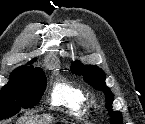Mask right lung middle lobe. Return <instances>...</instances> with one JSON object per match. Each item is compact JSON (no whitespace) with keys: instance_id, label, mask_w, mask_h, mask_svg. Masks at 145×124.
<instances>
[{"instance_id":"1","label":"right lung middle lobe","mask_w":145,"mask_h":124,"mask_svg":"<svg viewBox=\"0 0 145 124\" xmlns=\"http://www.w3.org/2000/svg\"><path fill=\"white\" fill-rule=\"evenodd\" d=\"M45 87L46 77L41 69L10 77V81L0 91V120L17 114L21 108L37 105Z\"/></svg>"}]
</instances>
